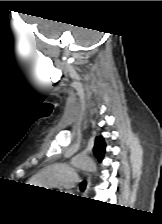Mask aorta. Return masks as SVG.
I'll use <instances>...</instances> for the list:
<instances>
[{
	"label": "aorta",
	"mask_w": 162,
	"mask_h": 224,
	"mask_svg": "<svg viewBox=\"0 0 162 224\" xmlns=\"http://www.w3.org/2000/svg\"><path fill=\"white\" fill-rule=\"evenodd\" d=\"M71 164L76 168H80L92 173L97 171L95 162L90 157L85 155H76L72 158Z\"/></svg>",
	"instance_id": "aorta-1"
}]
</instances>
